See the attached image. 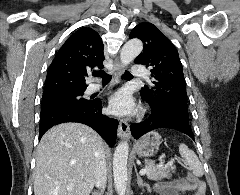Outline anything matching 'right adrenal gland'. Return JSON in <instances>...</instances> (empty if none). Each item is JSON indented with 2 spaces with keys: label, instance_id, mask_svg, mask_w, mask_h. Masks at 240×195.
I'll list each match as a JSON object with an SVG mask.
<instances>
[{
  "label": "right adrenal gland",
  "instance_id": "1",
  "mask_svg": "<svg viewBox=\"0 0 240 195\" xmlns=\"http://www.w3.org/2000/svg\"><path fill=\"white\" fill-rule=\"evenodd\" d=\"M102 191H104V189H96V191H92V195H101Z\"/></svg>",
  "mask_w": 240,
  "mask_h": 195
}]
</instances>
